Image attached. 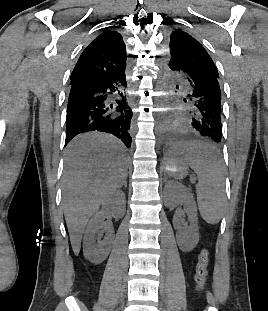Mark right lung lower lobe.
Instances as JSON below:
<instances>
[{
    "mask_svg": "<svg viewBox=\"0 0 268 311\" xmlns=\"http://www.w3.org/2000/svg\"><path fill=\"white\" fill-rule=\"evenodd\" d=\"M126 85L124 72L71 83L65 146L80 133L100 131L113 134L129 148L132 110L123 92Z\"/></svg>",
    "mask_w": 268,
    "mask_h": 311,
    "instance_id": "98d812e1",
    "label": "right lung lower lobe"
}]
</instances>
